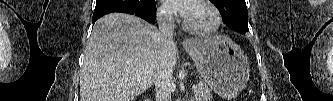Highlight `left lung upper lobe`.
I'll return each mask as SVG.
<instances>
[{
  "instance_id": "5c2ea615",
  "label": "left lung upper lobe",
  "mask_w": 333,
  "mask_h": 101,
  "mask_svg": "<svg viewBox=\"0 0 333 101\" xmlns=\"http://www.w3.org/2000/svg\"><path fill=\"white\" fill-rule=\"evenodd\" d=\"M220 11L224 23L241 33L248 29V11L244 0H210Z\"/></svg>"
}]
</instances>
